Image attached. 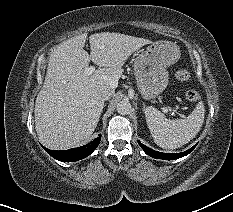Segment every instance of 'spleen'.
I'll use <instances>...</instances> for the list:
<instances>
[{
    "mask_svg": "<svg viewBox=\"0 0 233 212\" xmlns=\"http://www.w3.org/2000/svg\"><path fill=\"white\" fill-rule=\"evenodd\" d=\"M146 122L154 142L163 149H176L190 142L200 131L205 117L204 103L200 101L184 119H167L156 108L144 109Z\"/></svg>",
    "mask_w": 233,
    "mask_h": 212,
    "instance_id": "obj_1",
    "label": "spleen"
}]
</instances>
